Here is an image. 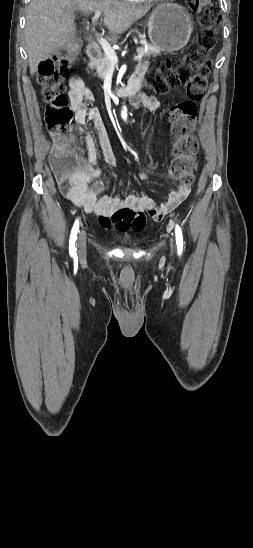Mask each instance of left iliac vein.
Here are the masks:
<instances>
[{
    "instance_id": "left-iliac-vein-1",
    "label": "left iliac vein",
    "mask_w": 253,
    "mask_h": 548,
    "mask_svg": "<svg viewBox=\"0 0 253 548\" xmlns=\"http://www.w3.org/2000/svg\"><path fill=\"white\" fill-rule=\"evenodd\" d=\"M171 249L173 248V239L170 240Z\"/></svg>"
}]
</instances>
